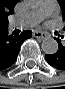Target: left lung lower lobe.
Returning <instances> with one entry per match:
<instances>
[{
  "instance_id": "obj_1",
  "label": "left lung lower lobe",
  "mask_w": 65,
  "mask_h": 89,
  "mask_svg": "<svg viewBox=\"0 0 65 89\" xmlns=\"http://www.w3.org/2000/svg\"><path fill=\"white\" fill-rule=\"evenodd\" d=\"M63 38V36H60ZM59 45V50L52 55H45L47 62L54 68L65 70V43H61V40L55 38Z\"/></svg>"
}]
</instances>
